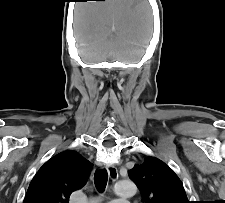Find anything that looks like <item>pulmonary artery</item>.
Masks as SVG:
<instances>
[{
  "mask_svg": "<svg viewBox=\"0 0 225 203\" xmlns=\"http://www.w3.org/2000/svg\"><path fill=\"white\" fill-rule=\"evenodd\" d=\"M109 203H129L128 201H111Z\"/></svg>",
  "mask_w": 225,
  "mask_h": 203,
  "instance_id": "e3ab8cb5",
  "label": "pulmonary artery"
}]
</instances>
